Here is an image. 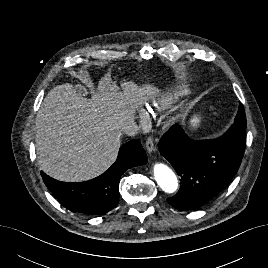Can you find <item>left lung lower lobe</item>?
Wrapping results in <instances>:
<instances>
[{
    "mask_svg": "<svg viewBox=\"0 0 268 268\" xmlns=\"http://www.w3.org/2000/svg\"><path fill=\"white\" fill-rule=\"evenodd\" d=\"M158 146L181 176L179 191L167 199L179 210L197 209L218 195L238 171L245 151L232 135L195 141L178 124L161 137Z\"/></svg>",
    "mask_w": 268,
    "mask_h": 268,
    "instance_id": "1",
    "label": "left lung lower lobe"
}]
</instances>
